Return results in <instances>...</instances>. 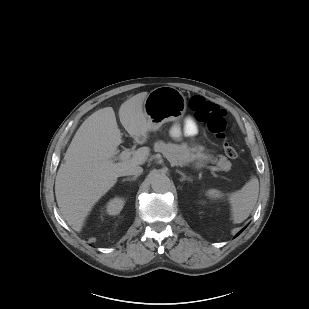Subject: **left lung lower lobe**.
Wrapping results in <instances>:
<instances>
[{"label":"left lung lower lobe","instance_id":"0a47b994","mask_svg":"<svg viewBox=\"0 0 309 309\" xmlns=\"http://www.w3.org/2000/svg\"><path fill=\"white\" fill-rule=\"evenodd\" d=\"M244 230V229H243ZM243 230H241L236 236H238Z\"/></svg>","mask_w":309,"mask_h":309}]
</instances>
